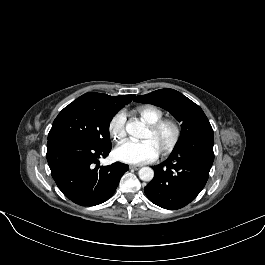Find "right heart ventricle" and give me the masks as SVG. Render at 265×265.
Masks as SVG:
<instances>
[{
	"instance_id": "obj_1",
	"label": "right heart ventricle",
	"mask_w": 265,
	"mask_h": 265,
	"mask_svg": "<svg viewBox=\"0 0 265 265\" xmlns=\"http://www.w3.org/2000/svg\"><path fill=\"white\" fill-rule=\"evenodd\" d=\"M138 117L147 125L163 118V111L152 105H141L135 109Z\"/></svg>"
}]
</instances>
